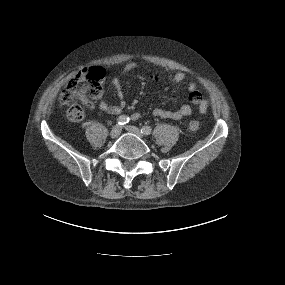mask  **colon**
I'll use <instances>...</instances> for the list:
<instances>
[{"label":"colon","mask_w":285,"mask_h":285,"mask_svg":"<svg viewBox=\"0 0 285 285\" xmlns=\"http://www.w3.org/2000/svg\"><path fill=\"white\" fill-rule=\"evenodd\" d=\"M104 70L98 66L83 69L72 78L61 93L60 103L67 107V116L72 121H80L84 117V107H90L92 100L100 97L103 91ZM199 129L197 121H190L188 130Z\"/></svg>","instance_id":"obj_1"}]
</instances>
